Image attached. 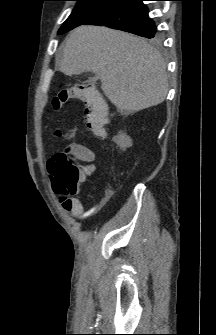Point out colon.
Segmentation results:
<instances>
[{"mask_svg":"<svg viewBox=\"0 0 216 335\" xmlns=\"http://www.w3.org/2000/svg\"><path fill=\"white\" fill-rule=\"evenodd\" d=\"M71 100L83 101L87 126L97 135L102 136L107 124V105L89 86L76 84L72 87L61 88L52 99V107L58 110ZM48 166L51 169L54 191L65 199L64 208L68 211L78 208L79 204L71 197L78 192L80 185H84V178L92 177V166L82 165L80 167L71 159V152L67 147L53 155Z\"/></svg>","mask_w":216,"mask_h":335,"instance_id":"obj_1","label":"colon"}]
</instances>
